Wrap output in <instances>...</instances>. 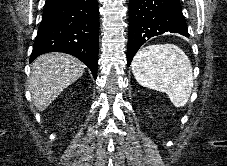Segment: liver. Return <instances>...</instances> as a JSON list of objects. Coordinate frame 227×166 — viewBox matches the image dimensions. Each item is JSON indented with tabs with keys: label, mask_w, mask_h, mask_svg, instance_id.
I'll list each match as a JSON object with an SVG mask.
<instances>
[{
	"label": "liver",
	"mask_w": 227,
	"mask_h": 166,
	"mask_svg": "<svg viewBox=\"0 0 227 166\" xmlns=\"http://www.w3.org/2000/svg\"><path fill=\"white\" fill-rule=\"evenodd\" d=\"M85 65L65 53H48L34 60L29 78V90L35 107L45 110L58 95L78 80Z\"/></svg>",
	"instance_id": "1"
}]
</instances>
